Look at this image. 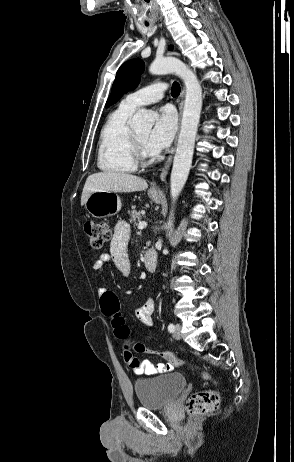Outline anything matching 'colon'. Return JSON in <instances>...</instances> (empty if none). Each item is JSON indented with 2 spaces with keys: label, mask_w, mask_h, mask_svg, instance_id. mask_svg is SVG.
Returning <instances> with one entry per match:
<instances>
[{
  "label": "colon",
  "mask_w": 294,
  "mask_h": 462,
  "mask_svg": "<svg viewBox=\"0 0 294 462\" xmlns=\"http://www.w3.org/2000/svg\"><path fill=\"white\" fill-rule=\"evenodd\" d=\"M84 232L90 246L94 249H101L111 238V229L105 222L87 221L84 224ZM100 307L102 314L111 320L115 335L123 341L124 359L131 367H136L140 363V360L133 355V351L162 356L177 366L187 364L185 360L172 352L155 350L143 344L134 343L121 315L119 299L114 292L108 290L101 296ZM201 373L205 379H211L207 372L202 371ZM220 402V395L217 391L204 390L192 394L186 403V408L193 415L208 414L217 410Z\"/></svg>",
  "instance_id": "colon-1"
}]
</instances>
